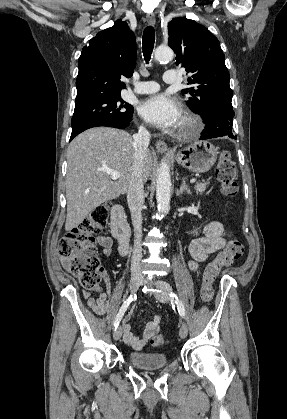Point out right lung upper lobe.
<instances>
[{
    "instance_id": "right-lung-upper-lobe-1",
    "label": "right lung upper lobe",
    "mask_w": 287,
    "mask_h": 419,
    "mask_svg": "<svg viewBox=\"0 0 287 419\" xmlns=\"http://www.w3.org/2000/svg\"><path fill=\"white\" fill-rule=\"evenodd\" d=\"M136 41L127 23L118 20L113 27L99 32L81 52L76 79L75 108L120 96L136 62Z\"/></svg>"
}]
</instances>
